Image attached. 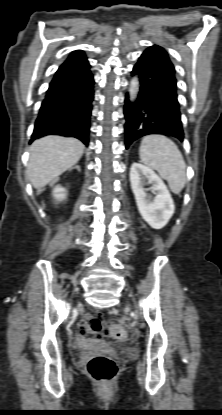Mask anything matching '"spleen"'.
<instances>
[{"label":"spleen","mask_w":222,"mask_h":415,"mask_svg":"<svg viewBox=\"0 0 222 415\" xmlns=\"http://www.w3.org/2000/svg\"><path fill=\"white\" fill-rule=\"evenodd\" d=\"M141 162L158 171L170 190L179 194L186 184V165L177 145L163 135H148L141 141Z\"/></svg>","instance_id":"1"}]
</instances>
